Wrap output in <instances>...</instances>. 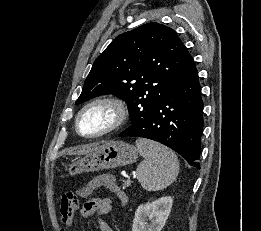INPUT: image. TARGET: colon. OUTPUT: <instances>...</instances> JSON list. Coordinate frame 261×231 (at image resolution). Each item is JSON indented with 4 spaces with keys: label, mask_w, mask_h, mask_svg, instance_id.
<instances>
[{
    "label": "colon",
    "mask_w": 261,
    "mask_h": 231,
    "mask_svg": "<svg viewBox=\"0 0 261 231\" xmlns=\"http://www.w3.org/2000/svg\"><path fill=\"white\" fill-rule=\"evenodd\" d=\"M111 189L117 187L114 182H109ZM94 189L95 185L89 183L86 187L82 188V193L90 194ZM79 196L80 192H66L62 196L60 214L63 220L71 221L76 213L79 211Z\"/></svg>",
    "instance_id": "1"
}]
</instances>
